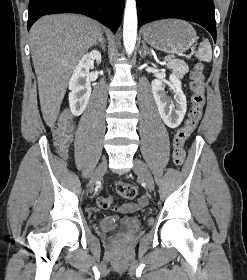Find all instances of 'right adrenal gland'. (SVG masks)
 I'll list each match as a JSON object with an SVG mask.
<instances>
[{
	"label": "right adrenal gland",
	"instance_id": "right-adrenal-gland-1",
	"mask_svg": "<svg viewBox=\"0 0 247 280\" xmlns=\"http://www.w3.org/2000/svg\"><path fill=\"white\" fill-rule=\"evenodd\" d=\"M104 37H103V33H101V36H100V38L98 39V41L95 43V45H97V44H101V49H102V51L103 52H105V45H104Z\"/></svg>",
	"mask_w": 247,
	"mask_h": 280
}]
</instances>
